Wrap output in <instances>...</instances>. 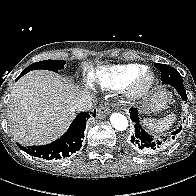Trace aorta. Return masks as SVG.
<instances>
[{
  "mask_svg": "<svg viewBox=\"0 0 196 196\" xmlns=\"http://www.w3.org/2000/svg\"><path fill=\"white\" fill-rule=\"evenodd\" d=\"M110 122L113 128L118 131H124L128 127V120L121 113H112L110 116Z\"/></svg>",
  "mask_w": 196,
  "mask_h": 196,
  "instance_id": "obj_1",
  "label": "aorta"
}]
</instances>
